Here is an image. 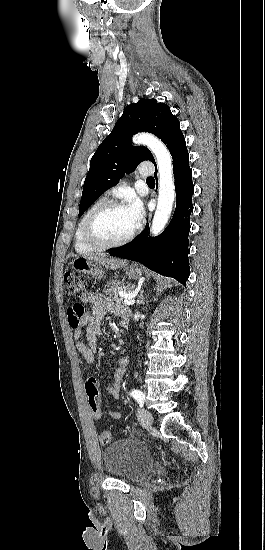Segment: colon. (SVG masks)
Listing matches in <instances>:
<instances>
[{"label": "colon", "instance_id": "1", "mask_svg": "<svg viewBox=\"0 0 265 550\" xmlns=\"http://www.w3.org/2000/svg\"><path fill=\"white\" fill-rule=\"evenodd\" d=\"M64 283L66 293L71 297L80 294L85 289L86 285L85 279L80 274L73 271H67L64 274ZM68 319L71 327L77 324V320ZM85 393L91 415L95 418H100L102 416L101 397L96 380L89 378L85 382ZM99 440L102 445H108L112 440V435L109 431L104 430L100 433Z\"/></svg>", "mask_w": 265, "mask_h": 550}]
</instances>
